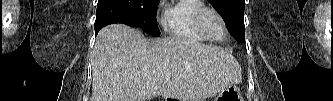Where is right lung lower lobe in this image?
I'll return each mask as SVG.
<instances>
[{
  "mask_svg": "<svg viewBox=\"0 0 333 101\" xmlns=\"http://www.w3.org/2000/svg\"><path fill=\"white\" fill-rule=\"evenodd\" d=\"M113 23H123L133 27L131 17L115 0H105L97 5V14L95 21V34L97 35L101 28Z\"/></svg>",
  "mask_w": 333,
  "mask_h": 101,
  "instance_id": "obj_1",
  "label": "right lung lower lobe"
}]
</instances>
